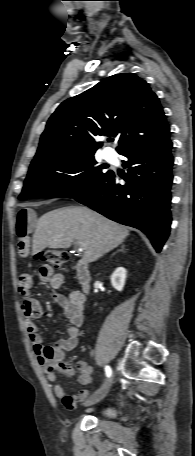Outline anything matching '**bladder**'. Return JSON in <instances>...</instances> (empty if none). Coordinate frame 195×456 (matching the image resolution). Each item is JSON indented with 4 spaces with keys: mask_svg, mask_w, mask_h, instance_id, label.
<instances>
[{
    "mask_svg": "<svg viewBox=\"0 0 195 456\" xmlns=\"http://www.w3.org/2000/svg\"><path fill=\"white\" fill-rule=\"evenodd\" d=\"M102 413L106 417H114L116 412L113 408L108 407V408H105Z\"/></svg>",
    "mask_w": 195,
    "mask_h": 456,
    "instance_id": "31cf9c89",
    "label": "bladder"
}]
</instances>
